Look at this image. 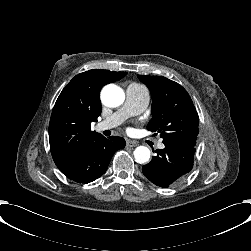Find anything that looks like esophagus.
Listing matches in <instances>:
<instances>
[{
	"label": "esophagus",
	"instance_id": "esophagus-1",
	"mask_svg": "<svg viewBox=\"0 0 251 251\" xmlns=\"http://www.w3.org/2000/svg\"><path fill=\"white\" fill-rule=\"evenodd\" d=\"M126 145H127L128 147H135V146L138 145V142L128 139V140L126 141Z\"/></svg>",
	"mask_w": 251,
	"mask_h": 251
}]
</instances>
